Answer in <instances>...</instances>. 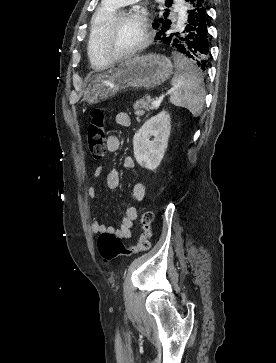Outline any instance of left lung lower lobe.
I'll return each instance as SVG.
<instances>
[{"label":"left lung lower lobe","instance_id":"0a47b994","mask_svg":"<svg viewBox=\"0 0 276 363\" xmlns=\"http://www.w3.org/2000/svg\"><path fill=\"white\" fill-rule=\"evenodd\" d=\"M187 11L180 22L162 27L156 35L159 43L188 57L201 70L208 63L207 0H186Z\"/></svg>","mask_w":276,"mask_h":363}]
</instances>
